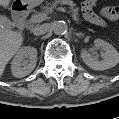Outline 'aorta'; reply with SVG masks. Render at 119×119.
Returning a JSON list of instances; mask_svg holds the SVG:
<instances>
[{"instance_id":"1","label":"aorta","mask_w":119,"mask_h":119,"mask_svg":"<svg viewBox=\"0 0 119 119\" xmlns=\"http://www.w3.org/2000/svg\"><path fill=\"white\" fill-rule=\"evenodd\" d=\"M52 29H53V32L56 34V35H63L67 32L68 30V25L65 21L63 20H60V21H55L53 22L52 24Z\"/></svg>"}]
</instances>
